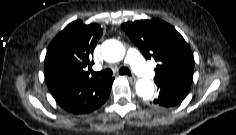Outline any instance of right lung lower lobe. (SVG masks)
Here are the masks:
<instances>
[{
  "mask_svg": "<svg viewBox=\"0 0 236 135\" xmlns=\"http://www.w3.org/2000/svg\"><path fill=\"white\" fill-rule=\"evenodd\" d=\"M114 78L90 81L59 80L48 84L56 102L75 115L88 114L108 99Z\"/></svg>",
  "mask_w": 236,
  "mask_h": 135,
  "instance_id": "obj_1",
  "label": "right lung lower lobe"
}]
</instances>
